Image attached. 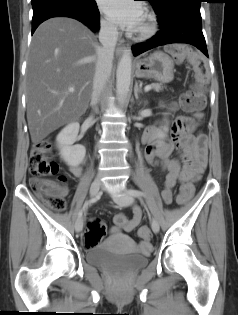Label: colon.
I'll return each mask as SVG.
<instances>
[{
	"label": "colon",
	"instance_id": "1",
	"mask_svg": "<svg viewBox=\"0 0 238 315\" xmlns=\"http://www.w3.org/2000/svg\"><path fill=\"white\" fill-rule=\"evenodd\" d=\"M167 50L175 61H188L193 66L198 83L197 89L190 90L180 97L179 104L190 111L198 112L202 110L206 104L202 90L206 85L208 76L207 62L201 55L186 46L172 44L167 47ZM58 170V165L54 160L53 144L50 139L46 138L36 143L30 155V187L52 209L63 211L66 207V201L62 194V189L65 187V178L59 177L57 181L43 178L57 174ZM193 191L192 185L182 186L176 199L177 203H186L191 199ZM114 221L119 227H124L128 223V219L122 214L117 215ZM105 229V224L100 219L90 221L85 235L87 247L98 244L105 234ZM139 235L141 238L148 240L151 235L150 229L147 226L141 227Z\"/></svg>",
	"mask_w": 238,
	"mask_h": 315
}]
</instances>
